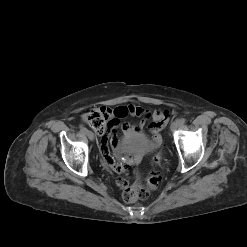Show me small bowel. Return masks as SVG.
<instances>
[{"mask_svg":"<svg viewBox=\"0 0 247 247\" xmlns=\"http://www.w3.org/2000/svg\"><path fill=\"white\" fill-rule=\"evenodd\" d=\"M104 112L108 118V134L104 135L101 141L100 150L103 155L104 161L106 164L112 168L115 172L122 173L127 172L128 168L133 167L135 163L139 161L138 157H125L123 163H118L114 160V158L110 155L108 150V142L110 141L112 148L116 155L121 157L119 151V141L117 137L114 135L117 128L120 126V122L122 119L127 116H137L141 117V120L131 125L129 123H124L121 125L122 131L124 134H130L132 132H141L144 128L146 121L148 119L151 122L148 125V129L150 133L153 135V141L158 144L161 141L160 130L167 124L169 120L168 111L162 110L159 108L156 109H145L138 105L130 104L126 106H118L116 108H104ZM117 185L121 188L127 187V181L119 178L116 181Z\"/></svg>","mask_w":247,"mask_h":247,"instance_id":"1","label":"small bowel"}]
</instances>
